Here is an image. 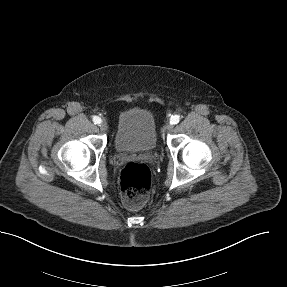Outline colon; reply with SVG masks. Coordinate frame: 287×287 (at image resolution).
Returning a JSON list of instances; mask_svg holds the SVG:
<instances>
[{
	"label": "colon",
	"mask_w": 287,
	"mask_h": 287,
	"mask_svg": "<svg viewBox=\"0 0 287 287\" xmlns=\"http://www.w3.org/2000/svg\"><path fill=\"white\" fill-rule=\"evenodd\" d=\"M151 171L146 164L130 162L120 175L123 203L130 209H138L146 202L151 189Z\"/></svg>",
	"instance_id": "5ec220e1"
}]
</instances>
